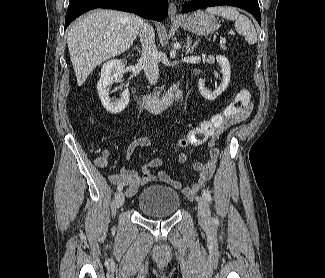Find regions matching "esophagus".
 Returning <instances> with one entry per match:
<instances>
[{
	"mask_svg": "<svg viewBox=\"0 0 325 278\" xmlns=\"http://www.w3.org/2000/svg\"><path fill=\"white\" fill-rule=\"evenodd\" d=\"M168 16L171 21H178L181 19V16L178 14L177 7L173 2L169 4Z\"/></svg>",
	"mask_w": 325,
	"mask_h": 278,
	"instance_id": "34e87169",
	"label": "esophagus"
}]
</instances>
